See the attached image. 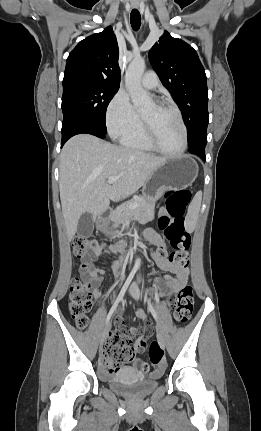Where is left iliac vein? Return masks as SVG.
I'll use <instances>...</instances> for the list:
<instances>
[{"label": "left iliac vein", "mask_w": 261, "mask_h": 431, "mask_svg": "<svg viewBox=\"0 0 261 431\" xmlns=\"http://www.w3.org/2000/svg\"><path fill=\"white\" fill-rule=\"evenodd\" d=\"M129 292H130V295H131L135 300H138V299L140 298V290H139V288H138V286H137V284H136V283H133V284L131 285ZM157 339H158V342H159V344L161 345V347H162V348H165V340H164V336H163L162 332H161L159 329H157Z\"/></svg>", "instance_id": "1"}]
</instances>
